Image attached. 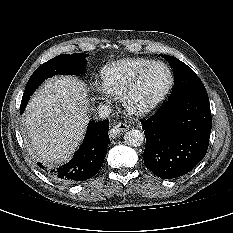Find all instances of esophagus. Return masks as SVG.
<instances>
[{"label":"esophagus","mask_w":233,"mask_h":233,"mask_svg":"<svg viewBox=\"0 0 233 233\" xmlns=\"http://www.w3.org/2000/svg\"><path fill=\"white\" fill-rule=\"evenodd\" d=\"M129 128V126L125 123H118L113 126V128L110 131V135L116 136L120 134L123 131H126Z\"/></svg>","instance_id":"esophagus-1"}]
</instances>
